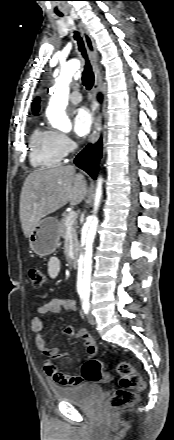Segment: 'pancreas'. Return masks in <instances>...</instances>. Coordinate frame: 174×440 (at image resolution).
<instances>
[{
	"instance_id": "cf45deb5",
	"label": "pancreas",
	"mask_w": 174,
	"mask_h": 440,
	"mask_svg": "<svg viewBox=\"0 0 174 440\" xmlns=\"http://www.w3.org/2000/svg\"><path fill=\"white\" fill-rule=\"evenodd\" d=\"M66 216L63 217L59 222V235L62 238H66L68 235V230H70V236L73 240L74 246L77 244V232H76V226L77 224L74 222L72 225L67 226L66 225Z\"/></svg>"
}]
</instances>
